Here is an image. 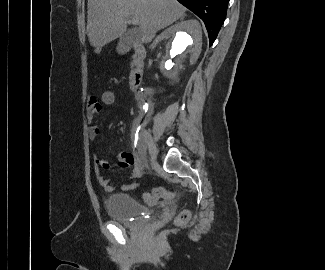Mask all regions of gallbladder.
Wrapping results in <instances>:
<instances>
[{"instance_id":"bac80fb5","label":"gallbladder","mask_w":325,"mask_h":270,"mask_svg":"<svg viewBox=\"0 0 325 270\" xmlns=\"http://www.w3.org/2000/svg\"><path fill=\"white\" fill-rule=\"evenodd\" d=\"M140 41V34L136 30L126 31L119 40L117 51L119 53H126L135 43Z\"/></svg>"}]
</instances>
